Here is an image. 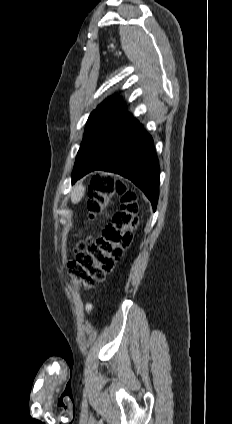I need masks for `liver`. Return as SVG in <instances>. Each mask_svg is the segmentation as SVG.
I'll list each match as a JSON object with an SVG mask.
<instances>
[{"instance_id": "1", "label": "liver", "mask_w": 232, "mask_h": 424, "mask_svg": "<svg viewBox=\"0 0 232 424\" xmlns=\"http://www.w3.org/2000/svg\"><path fill=\"white\" fill-rule=\"evenodd\" d=\"M84 192L85 187L82 185V183L77 184L71 193L72 203H78L84 196Z\"/></svg>"}]
</instances>
